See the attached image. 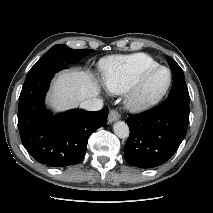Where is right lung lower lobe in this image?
I'll return each mask as SVG.
<instances>
[{"label": "right lung lower lobe", "mask_w": 213, "mask_h": 213, "mask_svg": "<svg viewBox=\"0 0 213 213\" xmlns=\"http://www.w3.org/2000/svg\"><path fill=\"white\" fill-rule=\"evenodd\" d=\"M66 68L62 61L33 66L19 97L22 144L34 159L50 167L78 164L85 155L90 135L107 125V108L96 112L74 109L55 117L45 109L44 98L51 79Z\"/></svg>", "instance_id": "right-lung-lower-lobe-1"}]
</instances>
